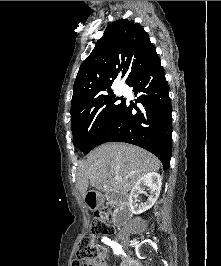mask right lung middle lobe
<instances>
[{"mask_svg": "<svg viewBox=\"0 0 221 266\" xmlns=\"http://www.w3.org/2000/svg\"><path fill=\"white\" fill-rule=\"evenodd\" d=\"M124 105L125 99L116 97L112 90L95 98L88 110L71 118L73 144L84 154L91 151L115 122Z\"/></svg>", "mask_w": 221, "mask_h": 266, "instance_id": "right-lung-middle-lobe-1", "label": "right lung middle lobe"}]
</instances>
